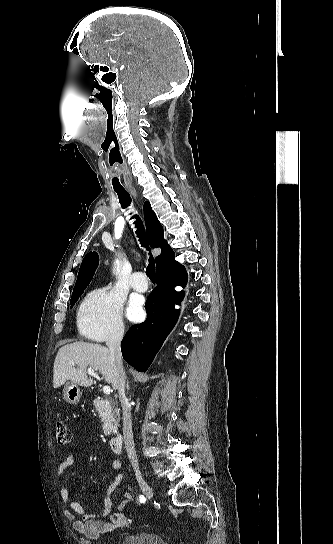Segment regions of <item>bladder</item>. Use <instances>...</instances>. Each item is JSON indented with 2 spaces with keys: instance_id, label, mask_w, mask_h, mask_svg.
Wrapping results in <instances>:
<instances>
[{
  "instance_id": "1",
  "label": "bladder",
  "mask_w": 333,
  "mask_h": 544,
  "mask_svg": "<svg viewBox=\"0 0 333 544\" xmlns=\"http://www.w3.org/2000/svg\"><path fill=\"white\" fill-rule=\"evenodd\" d=\"M110 544H166L164 539L152 532H130L114 536Z\"/></svg>"
}]
</instances>
